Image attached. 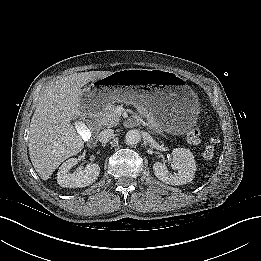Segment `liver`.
<instances>
[{
  "label": "liver",
  "instance_id": "liver-1",
  "mask_svg": "<svg viewBox=\"0 0 261 261\" xmlns=\"http://www.w3.org/2000/svg\"><path fill=\"white\" fill-rule=\"evenodd\" d=\"M111 71H89L63 77L46 87L29 128V155L41 179L48 180L59 165L84 147L72 120L82 115V89L87 83L111 75Z\"/></svg>",
  "mask_w": 261,
  "mask_h": 261
}]
</instances>
